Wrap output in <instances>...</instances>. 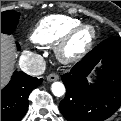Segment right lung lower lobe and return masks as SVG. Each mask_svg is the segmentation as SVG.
<instances>
[{"mask_svg": "<svg viewBox=\"0 0 121 121\" xmlns=\"http://www.w3.org/2000/svg\"><path fill=\"white\" fill-rule=\"evenodd\" d=\"M17 48L20 50L18 43ZM42 81L23 72H14L9 84L1 90V121H20L27 112L30 92Z\"/></svg>", "mask_w": 121, "mask_h": 121, "instance_id": "obj_1", "label": "right lung lower lobe"}]
</instances>
